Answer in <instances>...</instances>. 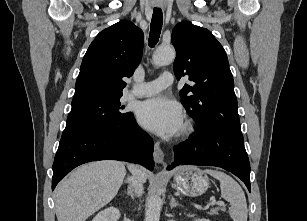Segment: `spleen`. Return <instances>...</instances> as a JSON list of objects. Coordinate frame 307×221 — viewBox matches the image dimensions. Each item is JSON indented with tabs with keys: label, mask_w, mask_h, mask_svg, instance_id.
<instances>
[{
	"label": "spleen",
	"mask_w": 307,
	"mask_h": 221,
	"mask_svg": "<svg viewBox=\"0 0 307 221\" xmlns=\"http://www.w3.org/2000/svg\"><path fill=\"white\" fill-rule=\"evenodd\" d=\"M205 173L220 181L221 197L230 202V217L233 221H247V203L241 186L224 172L207 169Z\"/></svg>",
	"instance_id": "3e777b00"
}]
</instances>
